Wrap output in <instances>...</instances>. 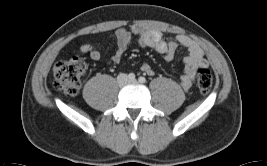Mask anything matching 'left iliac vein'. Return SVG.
Instances as JSON below:
<instances>
[{
    "mask_svg": "<svg viewBox=\"0 0 267 166\" xmlns=\"http://www.w3.org/2000/svg\"><path fill=\"white\" fill-rule=\"evenodd\" d=\"M128 82L131 83V84H135V83H137V80L133 79V80H129Z\"/></svg>",
    "mask_w": 267,
    "mask_h": 166,
    "instance_id": "1",
    "label": "left iliac vein"
}]
</instances>
